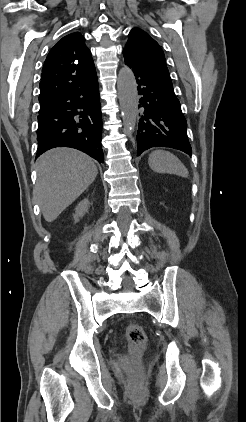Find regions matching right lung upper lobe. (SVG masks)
Masks as SVG:
<instances>
[{
    "mask_svg": "<svg viewBox=\"0 0 246 422\" xmlns=\"http://www.w3.org/2000/svg\"><path fill=\"white\" fill-rule=\"evenodd\" d=\"M91 52L80 32L64 36L48 53L41 73L39 103L87 84L96 77Z\"/></svg>",
    "mask_w": 246,
    "mask_h": 422,
    "instance_id": "right-lung-upper-lobe-1",
    "label": "right lung upper lobe"
}]
</instances>
